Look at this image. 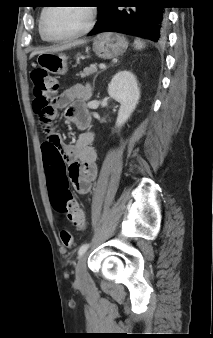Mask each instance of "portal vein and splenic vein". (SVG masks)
Returning a JSON list of instances; mask_svg holds the SVG:
<instances>
[{"label":"portal vein and splenic vein","instance_id":"1","mask_svg":"<svg viewBox=\"0 0 213 338\" xmlns=\"http://www.w3.org/2000/svg\"><path fill=\"white\" fill-rule=\"evenodd\" d=\"M99 68L104 69V68H106V65L102 63V64L99 65Z\"/></svg>","mask_w":213,"mask_h":338}]
</instances>
